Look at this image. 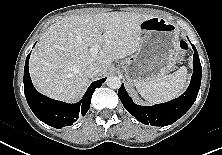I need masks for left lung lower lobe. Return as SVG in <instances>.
Returning a JSON list of instances; mask_svg holds the SVG:
<instances>
[{
    "mask_svg": "<svg viewBox=\"0 0 222 155\" xmlns=\"http://www.w3.org/2000/svg\"><path fill=\"white\" fill-rule=\"evenodd\" d=\"M191 45L194 50V72L188 89L179 98L167 103L145 107L133 103L123 84L119 88L118 97L120 98L123 106L138 121L146 125L167 126L182 117L193 105L200 89L202 67L195 46L193 44Z\"/></svg>",
    "mask_w": 222,
    "mask_h": 155,
    "instance_id": "1",
    "label": "left lung lower lobe"
}]
</instances>
